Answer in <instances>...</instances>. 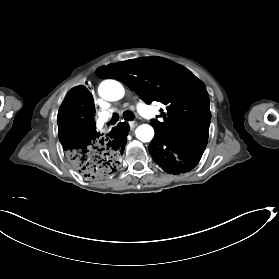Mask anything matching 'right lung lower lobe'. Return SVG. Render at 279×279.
<instances>
[{
    "label": "right lung lower lobe",
    "mask_w": 279,
    "mask_h": 279,
    "mask_svg": "<svg viewBox=\"0 0 279 279\" xmlns=\"http://www.w3.org/2000/svg\"><path fill=\"white\" fill-rule=\"evenodd\" d=\"M95 107L84 86L68 92L58 111V135L70 165L85 177L106 178L119 168L127 126L120 122L109 132L96 131Z\"/></svg>",
    "instance_id": "98d812e1"
}]
</instances>
